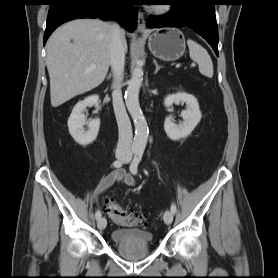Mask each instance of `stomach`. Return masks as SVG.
<instances>
[{
	"label": "stomach",
	"instance_id": "1",
	"mask_svg": "<svg viewBox=\"0 0 278 278\" xmlns=\"http://www.w3.org/2000/svg\"><path fill=\"white\" fill-rule=\"evenodd\" d=\"M151 53L164 61L178 60L185 52V38L179 29L168 28L156 31L148 38Z\"/></svg>",
	"mask_w": 278,
	"mask_h": 278
}]
</instances>
